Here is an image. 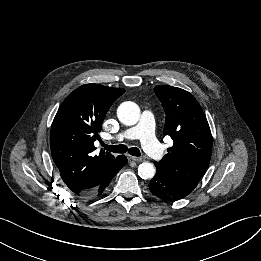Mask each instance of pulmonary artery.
Returning <instances> with one entry per match:
<instances>
[{
    "label": "pulmonary artery",
    "instance_id": "e3ab8cb5",
    "mask_svg": "<svg viewBox=\"0 0 261 261\" xmlns=\"http://www.w3.org/2000/svg\"><path fill=\"white\" fill-rule=\"evenodd\" d=\"M115 141L140 139L143 148L151 157L160 159L162 151L155 137L154 114L150 109H144L140 122L110 138Z\"/></svg>",
    "mask_w": 261,
    "mask_h": 261
}]
</instances>
